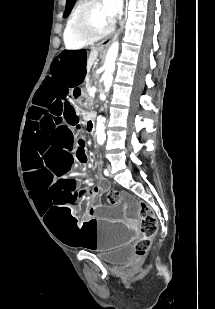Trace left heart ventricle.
<instances>
[{"mask_svg": "<svg viewBox=\"0 0 215 309\" xmlns=\"http://www.w3.org/2000/svg\"><path fill=\"white\" fill-rule=\"evenodd\" d=\"M84 13H91V20H86V22H91L92 29H103L104 25L107 24V19L105 18V10H100L98 8L91 9Z\"/></svg>", "mask_w": 215, "mask_h": 309, "instance_id": "b2bd125f", "label": "left heart ventricle"}]
</instances>
